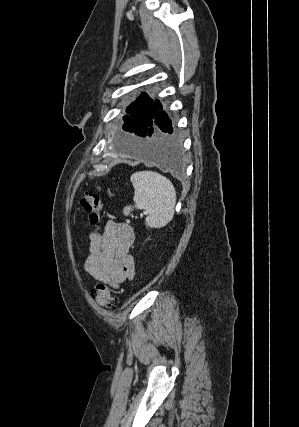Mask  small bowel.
<instances>
[{
    "instance_id": "c3829d8e",
    "label": "small bowel",
    "mask_w": 299,
    "mask_h": 427,
    "mask_svg": "<svg viewBox=\"0 0 299 427\" xmlns=\"http://www.w3.org/2000/svg\"><path fill=\"white\" fill-rule=\"evenodd\" d=\"M89 239L84 267L92 278L116 289L134 277L135 260L130 249L135 234L129 224L109 220L101 233L91 232Z\"/></svg>"
}]
</instances>
